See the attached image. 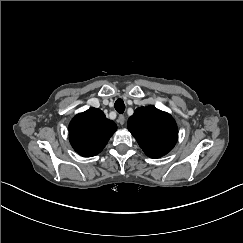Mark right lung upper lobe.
<instances>
[{
	"label": "right lung upper lobe",
	"mask_w": 243,
	"mask_h": 243,
	"mask_svg": "<svg viewBox=\"0 0 243 243\" xmlns=\"http://www.w3.org/2000/svg\"><path fill=\"white\" fill-rule=\"evenodd\" d=\"M116 124L97 108L77 114L69 125V139L74 150L84 157L100 153L116 131Z\"/></svg>",
	"instance_id": "right-lung-upper-lobe-1"
}]
</instances>
